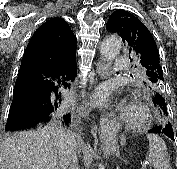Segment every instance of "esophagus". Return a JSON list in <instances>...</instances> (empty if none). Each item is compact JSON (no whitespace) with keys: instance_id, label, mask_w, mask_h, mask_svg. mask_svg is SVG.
<instances>
[{"instance_id":"1","label":"esophagus","mask_w":177,"mask_h":169,"mask_svg":"<svg viewBox=\"0 0 177 169\" xmlns=\"http://www.w3.org/2000/svg\"><path fill=\"white\" fill-rule=\"evenodd\" d=\"M108 73H109L108 65H106L104 62H99L97 64L98 77L100 79H105L108 77ZM101 88H102L101 90L103 91L104 87L102 86ZM113 128H114L113 122L108 118V116L104 115L101 118L100 124H99L100 136L104 138L110 135L113 131Z\"/></svg>"}]
</instances>
